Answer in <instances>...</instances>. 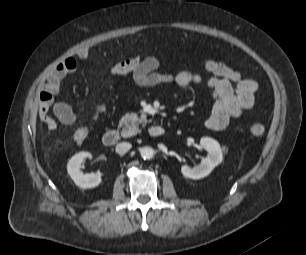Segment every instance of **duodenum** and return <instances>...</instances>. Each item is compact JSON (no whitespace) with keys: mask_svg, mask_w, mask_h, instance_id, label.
<instances>
[{"mask_svg":"<svg viewBox=\"0 0 306 255\" xmlns=\"http://www.w3.org/2000/svg\"><path fill=\"white\" fill-rule=\"evenodd\" d=\"M150 136L152 137H161L165 133V129L162 126L155 125L151 126L148 130ZM120 139L119 131L116 129L107 130L102 137L103 143L106 146H113L118 143Z\"/></svg>","mask_w":306,"mask_h":255,"instance_id":"duodenum-1","label":"duodenum"}]
</instances>
